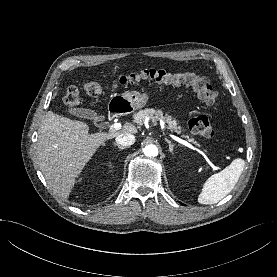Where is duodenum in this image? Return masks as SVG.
Wrapping results in <instances>:
<instances>
[{"mask_svg": "<svg viewBox=\"0 0 277 277\" xmlns=\"http://www.w3.org/2000/svg\"><path fill=\"white\" fill-rule=\"evenodd\" d=\"M114 115H115L114 111H111L108 115V118L112 119L114 117Z\"/></svg>", "mask_w": 277, "mask_h": 277, "instance_id": "duodenum-1", "label": "duodenum"}]
</instances>
